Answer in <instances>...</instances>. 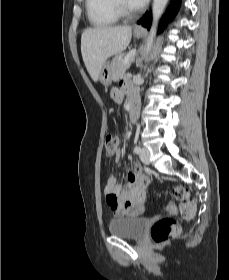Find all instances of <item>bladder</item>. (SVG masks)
I'll use <instances>...</instances> for the list:
<instances>
[{
  "label": "bladder",
  "instance_id": "bladder-1",
  "mask_svg": "<svg viewBox=\"0 0 229 280\" xmlns=\"http://www.w3.org/2000/svg\"><path fill=\"white\" fill-rule=\"evenodd\" d=\"M146 218L125 217L114 219L109 223V232L116 237L139 239L146 230Z\"/></svg>",
  "mask_w": 229,
  "mask_h": 280
}]
</instances>
